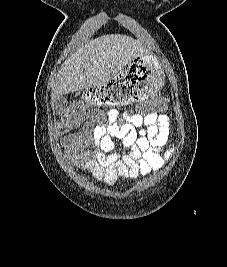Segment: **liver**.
<instances>
[{"label":"liver","mask_w":227,"mask_h":267,"mask_svg":"<svg viewBox=\"0 0 227 267\" xmlns=\"http://www.w3.org/2000/svg\"><path fill=\"white\" fill-rule=\"evenodd\" d=\"M144 53L142 44L126 35L96 38L65 61L53 85L51 99L90 87H102Z\"/></svg>","instance_id":"1"}]
</instances>
